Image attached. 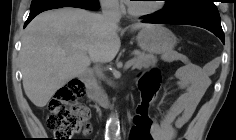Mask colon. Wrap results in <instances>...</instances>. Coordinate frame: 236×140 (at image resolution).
<instances>
[{
    "label": "colon",
    "mask_w": 236,
    "mask_h": 140,
    "mask_svg": "<svg viewBox=\"0 0 236 140\" xmlns=\"http://www.w3.org/2000/svg\"><path fill=\"white\" fill-rule=\"evenodd\" d=\"M159 90L156 71L144 75L139 82L140 100L131 120L128 140H152L151 109ZM85 88L78 79H73L60 87L48 105L47 125L55 140H71L81 131L88 116L87 109L79 103Z\"/></svg>",
    "instance_id": "1"
}]
</instances>
